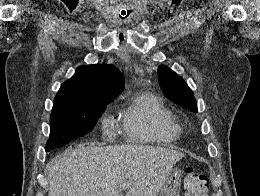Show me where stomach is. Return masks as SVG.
<instances>
[{"label":"stomach","instance_id":"obj_1","mask_svg":"<svg viewBox=\"0 0 260 196\" xmlns=\"http://www.w3.org/2000/svg\"><path fill=\"white\" fill-rule=\"evenodd\" d=\"M181 172L177 168L171 170L167 180H165L160 196H180Z\"/></svg>","mask_w":260,"mask_h":196}]
</instances>
